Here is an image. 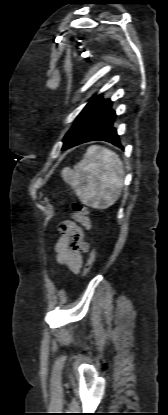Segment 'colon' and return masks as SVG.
Here are the masks:
<instances>
[{
	"mask_svg": "<svg viewBox=\"0 0 168 415\" xmlns=\"http://www.w3.org/2000/svg\"><path fill=\"white\" fill-rule=\"evenodd\" d=\"M71 208L75 213L77 212L78 214H83V215L89 214L88 208L79 201H73L71 204ZM94 262H95V250L91 248L89 251V256H88L87 263L85 266L86 274L91 270Z\"/></svg>",
	"mask_w": 168,
	"mask_h": 415,
	"instance_id": "colon-1",
	"label": "colon"
}]
</instances>
